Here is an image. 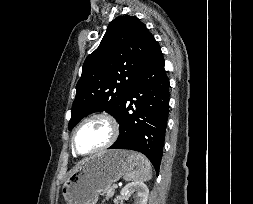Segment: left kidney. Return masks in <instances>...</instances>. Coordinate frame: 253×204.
Here are the masks:
<instances>
[{"instance_id": "obj_1", "label": "left kidney", "mask_w": 253, "mask_h": 204, "mask_svg": "<svg viewBox=\"0 0 253 204\" xmlns=\"http://www.w3.org/2000/svg\"><path fill=\"white\" fill-rule=\"evenodd\" d=\"M132 193L135 204H147L149 189L145 183L142 181L128 183L120 192L123 199H128Z\"/></svg>"}]
</instances>
